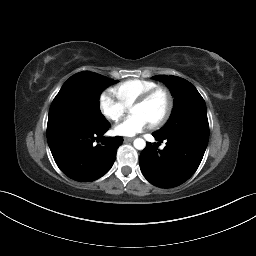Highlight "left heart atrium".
Instances as JSON below:
<instances>
[{
  "mask_svg": "<svg viewBox=\"0 0 256 256\" xmlns=\"http://www.w3.org/2000/svg\"><path fill=\"white\" fill-rule=\"evenodd\" d=\"M150 125V122L142 115H133L126 118L114 127V132L120 136H134Z\"/></svg>",
  "mask_w": 256,
  "mask_h": 256,
  "instance_id": "obj_1",
  "label": "left heart atrium"
}]
</instances>
